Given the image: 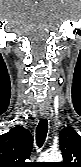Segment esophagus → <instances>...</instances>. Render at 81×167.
<instances>
[{"label": "esophagus", "instance_id": "34e87169", "mask_svg": "<svg viewBox=\"0 0 81 167\" xmlns=\"http://www.w3.org/2000/svg\"><path fill=\"white\" fill-rule=\"evenodd\" d=\"M49 113L47 111H41L40 112V116L45 118V117H48Z\"/></svg>", "mask_w": 81, "mask_h": 167}]
</instances>
